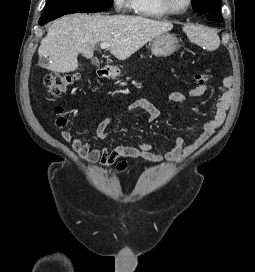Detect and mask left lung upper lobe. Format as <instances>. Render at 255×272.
I'll list each match as a JSON object with an SVG mask.
<instances>
[{"mask_svg": "<svg viewBox=\"0 0 255 272\" xmlns=\"http://www.w3.org/2000/svg\"><path fill=\"white\" fill-rule=\"evenodd\" d=\"M193 9L198 13H212L221 17L220 0H192Z\"/></svg>", "mask_w": 255, "mask_h": 272, "instance_id": "left-lung-upper-lobe-1", "label": "left lung upper lobe"}]
</instances>
